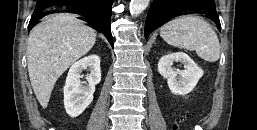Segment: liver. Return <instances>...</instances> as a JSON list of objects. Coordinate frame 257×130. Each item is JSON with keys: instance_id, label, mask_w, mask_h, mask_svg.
<instances>
[{"instance_id": "1", "label": "liver", "mask_w": 257, "mask_h": 130, "mask_svg": "<svg viewBox=\"0 0 257 130\" xmlns=\"http://www.w3.org/2000/svg\"><path fill=\"white\" fill-rule=\"evenodd\" d=\"M76 17L68 13L53 14L30 32L28 72L42 108L48 106L57 79L95 44V31Z\"/></svg>"}]
</instances>
